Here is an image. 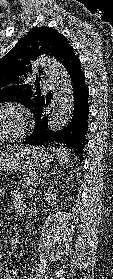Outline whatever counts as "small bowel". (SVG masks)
I'll return each mask as SVG.
<instances>
[{
  "label": "small bowel",
  "mask_w": 113,
  "mask_h": 279,
  "mask_svg": "<svg viewBox=\"0 0 113 279\" xmlns=\"http://www.w3.org/2000/svg\"><path fill=\"white\" fill-rule=\"evenodd\" d=\"M4 194V189L0 188V196H2ZM14 194V201H15V205L19 202V194L17 191H13ZM16 278V273L14 271H7L4 276L3 279H15Z\"/></svg>",
  "instance_id": "c3829d8e"
}]
</instances>
